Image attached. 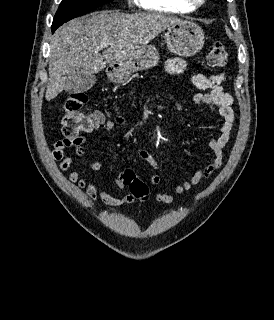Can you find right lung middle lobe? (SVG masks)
Segmentation results:
<instances>
[{
	"mask_svg": "<svg viewBox=\"0 0 274 320\" xmlns=\"http://www.w3.org/2000/svg\"><path fill=\"white\" fill-rule=\"evenodd\" d=\"M113 0H62L53 19L52 28H58L63 23L87 14L88 12Z\"/></svg>",
	"mask_w": 274,
	"mask_h": 320,
	"instance_id": "1",
	"label": "right lung middle lobe"
}]
</instances>
